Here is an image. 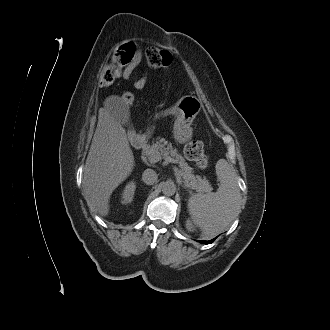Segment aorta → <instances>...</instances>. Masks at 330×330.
<instances>
[{
	"label": "aorta",
	"mask_w": 330,
	"mask_h": 330,
	"mask_svg": "<svg viewBox=\"0 0 330 330\" xmlns=\"http://www.w3.org/2000/svg\"><path fill=\"white\" fill-rule=\"evenodd\" d=\"M176 192V186L172 181H166L162 184V193L166 196H172Z\"/></svg>",
	"instance_id": "obj_1"
}]
</instances>
